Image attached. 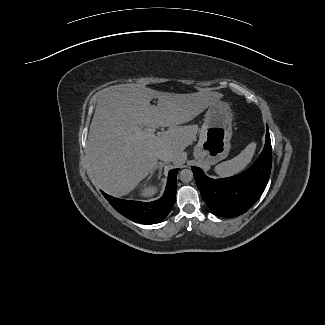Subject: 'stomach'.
I'll return each mask as SVG.
<instances>
[{
  "label": "stomach",
  "mask_w": 325,
  "mask_h": 325,
  "mask_svg": "<svg viewBox=\"0 0 325 325\" xmlns=\"http://www.w3.org/2000/svg\"><path fill=\"white\" fill-rule=\"evenodd\" d=\"M232 112L229 105L217 101L209 106L200 137L194 148V158L202 165H214L225 159L230 150Z\"/></svg>",
  "instance_id": "0dacf381"
}]
</instances>
